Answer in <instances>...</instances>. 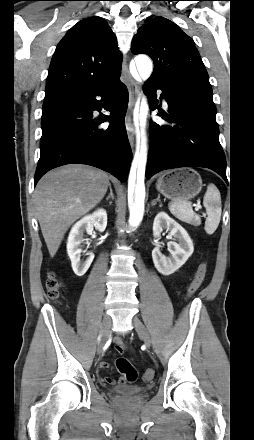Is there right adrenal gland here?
I'll use <instances>...</instances> for the list:
<instances>
[{"label": "right adrenal gland", "instance_id": "2a0ac1e0", "mask_svg": "<svg viewBox=\"0 0 254 440\" xmlns=\"http://www.w3.org/2000/svg\"><path fill=\"white\" fill-rule=\"evenodd\" d=\"M109 189H110V193H109V195L106 197V200H107V201H108L109 199L114 200V194H113V191H112L111 184H109ZM111 203H112V202H110V205H111Z\"/></svg>", "mask_w": 254, "mask_h": 440}]
</instances>
